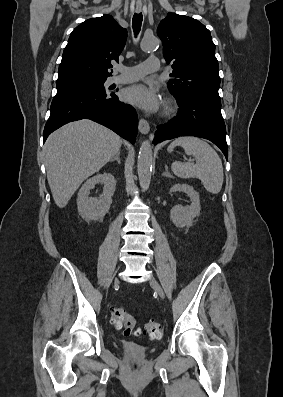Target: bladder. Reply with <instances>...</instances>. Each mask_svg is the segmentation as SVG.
Masks as SVG:
<instances>
[{
    "label": "bladder",
    "instance_id": "bladder-1",
    "mask_svg": "<svg viewBox=\"0 0 283 397\" xmlns=\"http://www.w3.org/2000/svg\"><path fill=\"white\" fill-rule=\"evenodd\" d=\"M135 345L134 344H131V343H127L126 345H121V347H134ZM152 350H148V352H151Z\"/></svg>",
    "mask_w": 283,
    "mask_h": 397
}]
</instances>
